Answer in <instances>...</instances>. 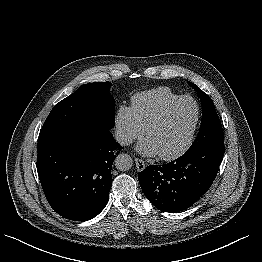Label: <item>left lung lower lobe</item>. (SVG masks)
I'll return each instance as SVG.
<instances>
[{
	"instance_id": "0a47b994",
	"label": "left lung lower lobe",
	"mask_w": 262,
	"mask_h": 262,
	"mask_svg": "<svg viewBox=\"0 0 262 262\" xmlns=\"http://www.w3.org/2000/svg\"><path fill=\"white\" fill-rule=\"evenodd\" d=\"M223 155L224 144L189 149L172 162L147 166L138 174V180L145 196L157 209L183 211L209 189Z\"/></svg>"
}]
</instances>
